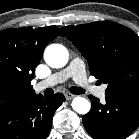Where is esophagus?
Masks as SVG:
<instances>
[{
  "instance_id": "34e87169",
  "label": "esophagus",
  "mask_w": 139,
  "mask_h": 139,
  "mask_svg": "<svg viewBox=\"0 0 139 139\" xmlns=\"http://www.w3.org/2000/svg\"><path fill=\"white\" fill-rule=\"evenodd\" d=\"M75 97V95H73V94H71V93H65V98L67 99V100H71V99H73Z\"/></svg>"
}]
</instances>
